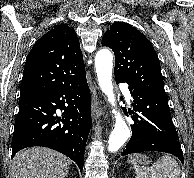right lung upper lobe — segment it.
I'll list each match as a JSON object with an SVG mask.
<instances>
[{"instance_id": "obj_1", "label": "right lung upper lobe", "mask_w": 194, "mask_h": 178, "mask_svg": "<svg viewBox=\"0 0 194 178\" xmlns=\"http://www.w3.org/2000/svg\"><path fill=\"white\" fill-rule=\"evenodd\" d=\"M86 78L75 31L61 23L34 44L26 58L20 98L74 85Z\"/></svg>"}]
</instances>
